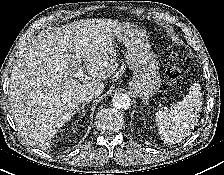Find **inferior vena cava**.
Masks as SVG:
<instances>
[{
	"label": "inferior vena cava",
	"mask_w": 224,
	"mask_h": 175,
	"mask_svg": "<svg viewBox=\"0 0 224 175\" xmlns=\"http://www.w3.org/2000/svg\"><path fill=\"white\" fill-rule=\"evenodd\" d=\"M96 96L97 93L94 90H84L79 96V101L88 103L92 98Z\"/></svg>",
	"instance_id": "obj_1"
}]
</instances>
